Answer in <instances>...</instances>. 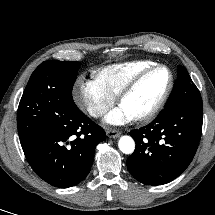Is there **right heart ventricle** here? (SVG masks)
Instances as JSON below:
<instances>
[{
  "mask_svg": "<svg viewBox=\"0 0 215 215\" xmlns=\"http://www.w3.org/2000/svg\"><path fill=\"white\" fill-rule=\"evenodd\" d=\"M155 64L150 60H134L111 64L93 71V78L104 90L117 96L137 73Z\"/></svg>",
  "mask_w": 215,
  "mask_h": 215,
  "instance_id": "1",
  "label": "right heart ventricle"
}]
</instances>
